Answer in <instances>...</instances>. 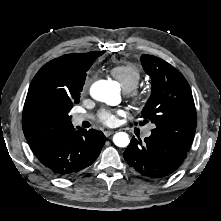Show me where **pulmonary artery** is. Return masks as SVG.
Returning a JSON list of instances; mask_svg holds the SVG:
<instances>
[{"mask_svg": "<svg viewBox=\"0 0 221 221\" xmlns=\"http://www.w3.org/2000/svg\"><path fill=\"white\" fill-rule=\"evenodd\" d=\"M90 119V116L89 115H85V114H75L73 116V122L75 124H81L83 123L84 121H87ZM151 135V131L150 129H147L145 132H144V137H149Z\"/></svg>", "mask_w": 221, "mask_h": 221, "instance_id": "1", "label": "pulmonary artery"}]
</instances>
